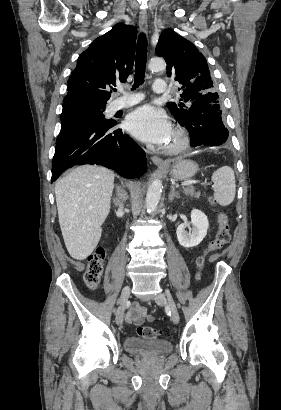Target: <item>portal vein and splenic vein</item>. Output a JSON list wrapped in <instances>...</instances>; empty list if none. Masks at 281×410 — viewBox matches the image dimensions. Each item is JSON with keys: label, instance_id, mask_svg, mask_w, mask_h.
Returning a JSON list of instances; mask_svg holds the SVG:
<instances>
[{"label": "portal vein and splenic vein", "instance_id": "1", "mask_svg": "<svg viewBox=\"0 0 281 410\" xmlns=\"http://www.w3.org/2000/svg\"><path fill=\"white\" fill-rule=\"evenodd\" d=\"M199 181H196V180H189V181H186V182H184V183H182L181 184V186H188V185H191V184H194V183H198ZM179 186V185H178ZM177 186V187H178Z\"/></svg>", "mask_w": 281, "mask_h": 410}]
</instances>
